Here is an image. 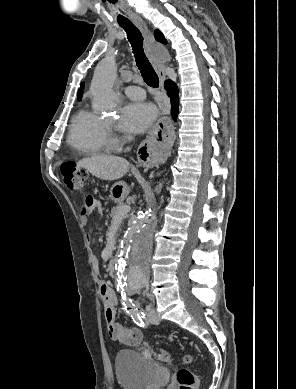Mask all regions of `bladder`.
Wrapping results in <instances>:
<instances>
[{"label":"bladder","instance_id":"obj_1","mask_svg":"<svg viewBox=\"0 0 296 389\" xmlns=\"http://www.w3.org/2000/svg\"><path fill=\"white\" fill-rule=\"evenodd\" d=\"M115 372L122 389H160L170 376L167 367L144 359L134 350L116 354Z\"/></svg>","mask_w":296,"mask_h":389}]
</instances>
